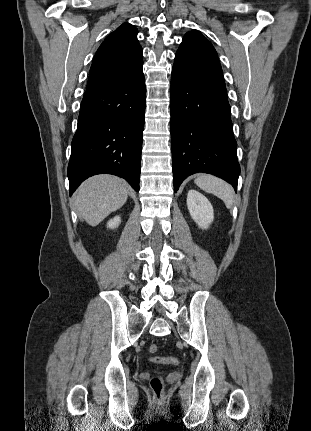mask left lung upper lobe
I'll return each mask as SVG.
<instances>
[{"instance_id":"obj_1","label":"left lung upper lobe","mask_w":311,"mask_h":431,"mask_svg":"<svg viewBox=\"0 0 311 431\" xmlns=\"http://www.w3.org/2000/svg\"><path fill=\"white\" fill-rule=\"evenodd\" d=\"M178 51L188 52L219 62L217 53L212 44L197 30L186 33Z\"/></svg>"}]
</instances>
